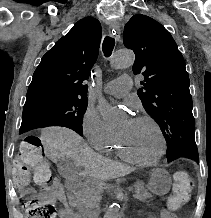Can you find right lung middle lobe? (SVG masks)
Masks as SVG:
<instances>
[{"label": "right lung middle lobe", "mask_w": 211, "mask_h": 218, "mask_svg": "<svg viewBox=\"0 0 211 218\" xmlns=\"http://www.w3.org/2000/svg\"><path fill=\"white\" fill-rule=\"evenodd\" d=\"M87 104V100L78 98H45L25 102L20 132L59 125L82 135V121Z\"/></svg>", "instance_id": "dd1d6c3e"}]
</instances>
